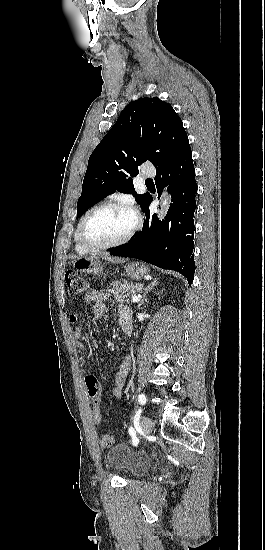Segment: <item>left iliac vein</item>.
I'll return each instance as SVG.
<instances>
[{"instance_id":"4c4485c4","label":"left iliac vein","mask_w":265,"mask_h":550,"mask_svg":"<svg viewBox=\"0 0 265 550\" xmlns=\"http://www.w3.org/2000/svg\"><path fill=\"white\" fill-rule=\"evenodd\" d=\"M141 428L145 434H150L153 428L152 420L147 416L143 417L141 419Z\"/></svg>"}]
</instances>
